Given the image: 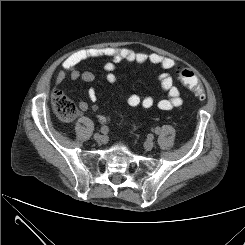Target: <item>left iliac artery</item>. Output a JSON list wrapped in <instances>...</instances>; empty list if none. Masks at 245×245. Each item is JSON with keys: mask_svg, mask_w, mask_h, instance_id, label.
<instances>
[{"mask_svg": "<svg viewBox=\"0 0 245 245\" xmlns=\"http://www.w3.org/2000/svg\"><path fill=\"white\" fill-rule=\"evenodd\" d=\"M156 133L158 134L159 133V130H156Z\"/></svg>", "mask_w": 245, "mask_h": 245, "instance_id": "obj_1", "label": "left iliac artery"}]
</instances>
